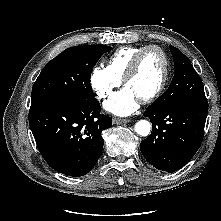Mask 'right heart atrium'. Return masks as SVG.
<instances>
[{
  "mask_svg": "<svg viewBox=\"0 0 221 221\" xmlns=\"http://www.w3.org/2000/svg\"><path fill=\"white\" fill-rule=\"evenodd\" d=\"M90 86L99 99L108 98L121 80L115 77L107 67L97 66L90 74Z\"/></svg>",
  "mask_w": 221,
  "mask_h": 221,
  "instance_id": "1",
  "label": "right heart atrium"
}]
</instances>
